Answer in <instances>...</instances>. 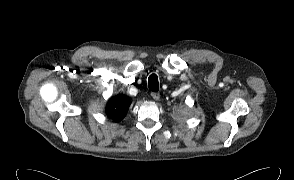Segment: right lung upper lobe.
<instances>
[{
    "label": "right lung upper lobe",
    "instance_id": "right-lung-upper-lobe-1",
    "mask_svg": "<svg viewBox=\"0 0 294 180\" xmlns=\"http://www.w3.org/2000/svg\"><path fill=\"white\" fill-rule=\"evenodd\" d=\"M130 105V98L124 95L112 97L106 107V113L109 118L115 121H120L126 114L128 106Z\"/></svg>",
    "mask_w": 294,
    "mask_h": 180
}]
</instances>
